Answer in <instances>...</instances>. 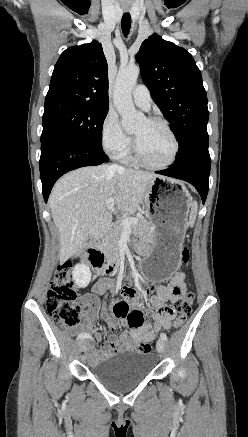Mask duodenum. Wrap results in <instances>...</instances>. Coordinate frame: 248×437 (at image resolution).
Returning a JSON list of instances; mask_svg holds the SVG:
<instances>
[{"label": "duodenum", "mask_w": 248, "mask_h": 437, "mask_svg": "<svg viewBox=\"0 0 248 437\" xmlns=\"http://www.w3.org/2000/svg\"><path fill=\"white\" fill-rule=\"evenodd\" d=\"M102 242L96 243L94 246H92L86 253L85 259L89 264H92L93 262L99 260L102 258ZM114 266L108 265V270L113 271Z\"/></svg>", "instance_id": "410a0bca"}]
</instances>
